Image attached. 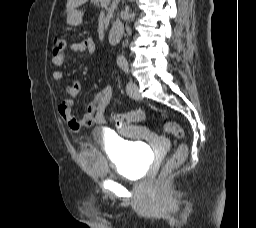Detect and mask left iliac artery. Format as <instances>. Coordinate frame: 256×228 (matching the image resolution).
I'll return each instance as SVG.
<instances>
[{"label": "left iliac artery", "instance_id": "left-iliac-artery-1", "mask_svg": "<svg viewBox=\"0 0 256 228\" xmlns=\"http://www.w3.org/2000/svg\"><path fill=\"white\" fill-rule=\"evenodd\" d=\"M120 67L125 71L126 74L129 73L128 63H122Z\"/></svg>", "mask_w": 256, "mask_h": 228}]
</instances>
